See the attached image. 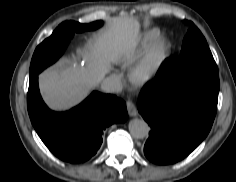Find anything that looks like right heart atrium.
Returning a JSON list of instances; mask_svg holds the SVG:
<instances>
[{
  "label": "right heart atrium",
  "instance_id": "d8ad5b80",
  "mask_svg": "<svg viewBox=\"0 0 236 182\" xmlns=\"http://www.w3.org/2000/svg\"><path fill=\"white\" fill-rule=\"evenodd\" d=\"M113 77L116 81H120V76L119 75L115 74Z\"/></svg>",
  "mask_w": 236,
  "mask_h": 182
}]
</instances>
